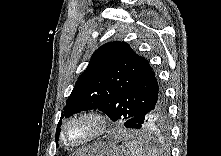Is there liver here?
<instances>
[{
  "instance_id": "liver-1",
  "label": "liver",
  "mask_w": 221,
  "mask_h": 156,
  "mask_svg": "<svg viewBox=\"0 0 221 156\" xmlns=\"http://www.w3.org/2000/svg\"><path fill=\"white\" fill-rule=\"evenodd\" d=\"M92 150H93V151H95V150H96V148H90V149H86L85 151H86V152H88V151H90V152H91ZM90 152L88 153L89 155H91V154H90Z\"/></svg>"
}]
</instances>
